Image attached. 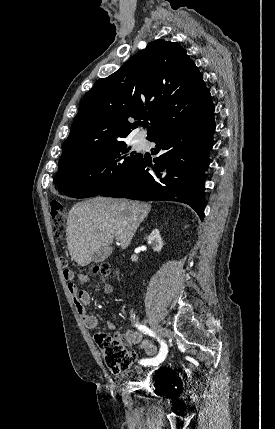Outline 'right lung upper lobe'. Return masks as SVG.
<instances>
[{
	"label": "right lung upper lobe",
	"instance_id": "cb5924a9",
	"mask_svg": "<svg viewBox=\"0 0 275 429\" xmlns=\"http://www.w3.org/2000/svg\"><path fill=\"white\" fill-rule=\"evenodd\" d=\"M203 76L178 43L155 40L88 91L62 145L59 167L88 152L123 141L149 119L147 139L198 119L213 109Z\"/></svg>",
	"mask_w": 275,
	"mask_h": 429
}]
</instances>
